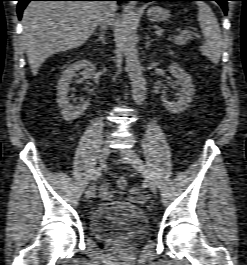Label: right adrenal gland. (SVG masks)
I'll use <instances>...</instances> for the list:
<instances>
[{
    "label": "right adrenal gland",
    "instance_id": "right-adrenal-gland-1",
    "mask_svg": "<svg viewBox=\"0 0 247 265\" xmlns=\"http://www.w3.org/2000/svg\"><path fill=\"white\" fill-rule=\"evenodd\" d=\"M96 41H101L103 44H106L104 30L100 31L99 38Z\"/></svg>",
    "mask_w": 247,
    "mask_h": 265
}]
</instances>
